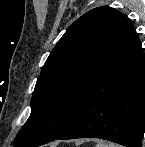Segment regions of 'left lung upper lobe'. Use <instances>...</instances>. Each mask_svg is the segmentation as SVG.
Segmentation results:
<instances>
[{
  "mask_svg": "<svg viewBox=\"0 0 145 147\" xmlns=\"http://www.w3.org/2000/svg\"><path fill=\"white\" fill-rule=\"evenodd\" d=\"M126 16L102 6L68 27L47 58L31 99V115L17 134L15 147H36L72 124L113 48Z\"/></svg>",
  "mask_w": 145,
  "mask_h": 147,
  "instance_id": "left-lung-upper-lobe-1",
  "label": "left lung upper lobe"
}]
</instances>
